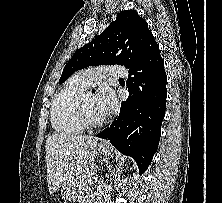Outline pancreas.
Masks as SVG:
<instances>
[{
	"mask_svg": "<svg viewBox=\"0 0 222 203\" xmlns=\"http://www.w3.org/2000/svg\"><path fill=\"white\" fill-rule=\"evenodd\" d=\"M96 172V168L91 169L88 171L84 176L81 177L80 179V186H86L89 183V180L94 178Z\"/></svg>",
	"mask_w": 222,
	"mask_h": 203,
	"instance_id": "obj_1",
	"label": "pancreas"
}]
</instances>
